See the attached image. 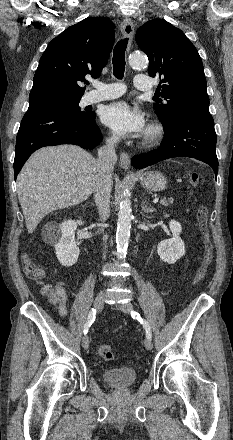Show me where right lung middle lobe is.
Masks as SVG:
<instances>
[{
    "label": "right lung middle lobe",
    "mask_w": 233,
    "mask_h": 440,
    "mask_svg": "<svg viewBox=\"0 0 233 440\" xmlns=\"http://www.w3.org/2000/svg\"><path fill=\"white\" fill-rule=\"evenodd\" d=\"M79 102L80 98L56 99L36 105H30L29 108H57L86 119L95 115L94 112H82L79 107Z\"/></svg>",
    "instance_id": "obj_1"
}]
</instances>
